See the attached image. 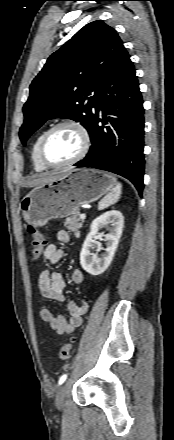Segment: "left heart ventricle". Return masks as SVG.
Masks as SVG:
<instances>
[{
    "mask_svg": "<svg viewBox=\"0 0 174 440\" xmlns=\"http://www.w3.org/2000/svg\"><path fill=\"white\" fill-rule=\"evenodd\" d=\"M81 146V137L72 127H60L47 139L44 154L52 164L64 163L73 158Z\"/></svg>",
    "mask_w": 174,
    "mask_h": 440,
    "instance_id": "b2bd125f",
    "label": "left heart ventricle"
}]
</instances>
